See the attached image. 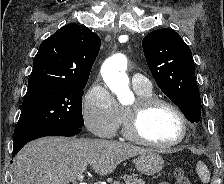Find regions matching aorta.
<instances>
[{
    "label": "aorta",
    "instance_id": "1",
    "mask_svg": "<svg viewBox=\"0 0 224 184\" xmlns=\"http://www.w3.org/2000/svg\"><path fill=\"white\" fill-rule=\"evenodd\" d=\"M127 58L115 54L108 58L101 68V74L109 89L114 92L121 103L128 102L133 94L129 89V78L126 74Z\"/></svg>",
    "mask_w": 224,
    "mask_h": 184
}]
</instances>
